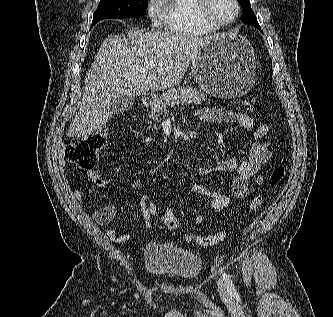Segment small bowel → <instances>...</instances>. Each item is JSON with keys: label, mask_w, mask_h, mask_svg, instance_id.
<instances>
[{"label": "small bowel", "mask_w": 333, "mask_h": 317, "mask_svg": "<svg viewBox=\"0 0 333 317\" xmlns=\"http://www.w3.org/2000/svg\"><path fill=\"white\" fill-rule=\"evenodd\" d=\"M198 120L202 122H215V123H237L243 129L252 134V143L247 155L243 158L237 156L229 157L221 161L213 168L199 167L197 169L198 176L204 177L213 173H228L232 174L230 181V190L234 197L239 199L248 198L255 191V186H260L264 182L261 175L262 168L267 164L270 159V150L266 141V136L269 133V126L266 123L255 125L253 119L247 114L235 112L225 108H201L195 113ZM90 180L97 187H102L103 182L97 172H91L89 175ZM254 180V183L251 181ZM194 194L205 196L208 198L210 206L215 214H221L231 204L229 196L212 191L201 185L194 183L191 187ZM73 198L76 201L82 199L79 191L72 192ZM140 213L144 222V226L149 229L152 226L151 218L158 216V209L153 203L150 196L145 195L142 197L139 205ZM115 208L112 206H104L97 209L93 218L95 222L100 225H108L115 217ZM205 216L202 213H197L194 217V222L197 225L203 224ZM108 239L124 243L131 239L130 233L120 234L115 229H109L106 232Z\"/></svg>", "instance_id": "c3829d8e"}]
</instances>
